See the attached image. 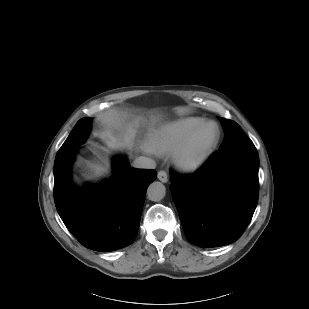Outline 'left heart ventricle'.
Wrapping results in <instances>:
<instances>
[{"instance_id":"1","label":"left heart ventricle","mask_w":309,"mask_h":309,"mask_svg":"<svg viewBox=\"0 0 309 309\" xmlns=\"http://www.w3.org/2000/svg\"><path fill=\"white\" fill-rule=\"evenodd\" d=\"M216 130L213 126H208L202 130L199 135L192 142L188 154L190 156H195L199 154L208 143L214 138Z\"/></svg>"}]
</instances>
